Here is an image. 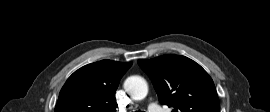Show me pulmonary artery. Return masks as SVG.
I'll use <instances>...</instances> for the list:
<instances>
[{
	"instance_id": "pulmonary-artery-1",
	"label": "pulmonary artery",
	"mask_w": 270,
	"mask_h": 112,
	"mask_svg": "<svg viewBox=\"0 0 270 112\" xmlns=\"http://www.w3.org/2000/svg\"><path fill=\"white\" fill-rule=\"evenodd\" d=\"M150 112H162V109L156 105H151Z\"/></svg>"
}]
</instances>
